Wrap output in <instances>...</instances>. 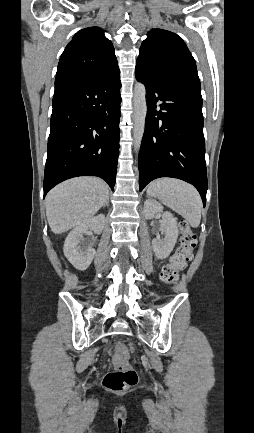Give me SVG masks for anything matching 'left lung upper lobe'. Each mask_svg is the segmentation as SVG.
<instances>
[{
	"label": "left lung upper lobe",
	"mask_w": 254,
	"mask_h": 433,
	"mask_svg": "<svg viewBox=\"0 0 254 433\" xmlns=\"http://www.w3.org/2000/svg\"><path fill=\"white\" fill-rule=\"evenodd\" d=\"M136 66L163 82L201 93L195 60L182 38L173 32L149 31L139 49Z\"/></svg>",
	"instance_id": "5c2ea615"
}]
</instances>
